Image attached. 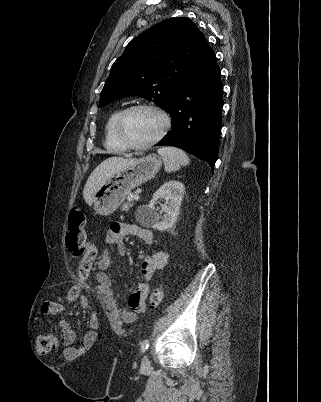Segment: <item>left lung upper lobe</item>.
Instances as JSON below:
<instances>
[{"mask_svg":"<svg viewBox=\"0 0 321 402\" xmlns=\"http://www.w3.org/2000/svg\"><path fill=\"white\" fill-rule=\"evenodd\" d=\"M208 43L189 18H171L134 38L112 65L99 107L127 96H142L165 109L173 90Z\"/></svg>","mask_w":321,"mask_h":402,"instance_id":"left-lung-upper-lobe-1","label":"left lung upper lobe"}]
</instances>
